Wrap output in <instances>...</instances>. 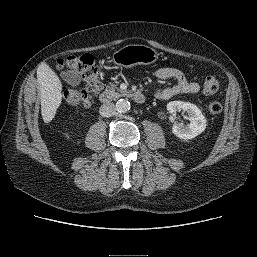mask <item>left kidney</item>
Instances as JSON below:
<instances>
[{
  "label": "left kidney",
  "mask_w": 257,
  "mask_h": 257,
  "mask_svg": "<svg viewBox=\"0 0 257 257\" xmlns=\"http://www.w3.org/2000/svg\"><path fill=\"white\" fill-rule=\"evenodd\" d=\"M167 110L171 114L170 120L174 121L177 111L186 112L189 124L183 125L174 122L172 133L180 139L188 140L200 135L206 129V118L201 110L190 102L171 101L167 104Z\"/></svg>",
  "instance_id": "5707ae66"
}]
</instances>
